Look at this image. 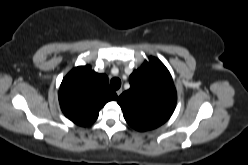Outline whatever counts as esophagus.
Segmentation results:
<instances>
[{
    "label": "esophagus",
    "instance_id": "34e87169",
    "mask_svg": "<svg viewBox=\"0 0 248 165\" xmlns=\"http://www.w3.org/2000/svg\"><path fill=\"white\" fill-rule=\"evenodd\" d=\"M122 88L121 89H118L117 91H116V94H117V96H120L121 94H122Z\"/></svg>",
    "mask_w": 248,
    "mask_h": 165
}]
</instances>
